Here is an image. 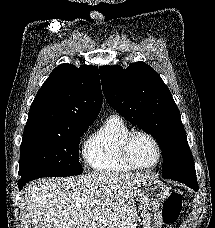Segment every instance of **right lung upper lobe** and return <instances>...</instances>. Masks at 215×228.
I'll return each instance as SVG.
<instances>
[{
  "label": "right lung upper lobe",
  "mask_w": 215,
  "mask_h": 228,
  "mask_svg": "<svg viewBox=\"0 0 215 228\" xmlns=\"http://www.w3.org/2000/svg\"><path fill=\"white\" fill-rule=\"evenodd\" d=\"M102 106L98 68L61 64L38 90L24 131L94 122Z\"/></svg>",
  "instance_id": "1"
}]
</instances>
